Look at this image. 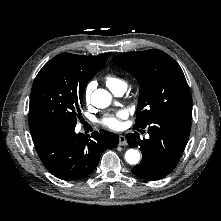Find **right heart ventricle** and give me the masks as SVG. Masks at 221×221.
Here are the masks:
<instances>
[{
  "label": "right heart ventricle",
  "instance_id": "obj_1",
  "mask_svg": "<svg viewBox=\"0 0 221 221\" xmlns=\"http://www.w3.org/2000/svg\"><path fill=\"white\" fill-rule=\"evenodd\" d=\"M105 82H106V85L112 90H116L120 87H124L126 86V82L121 79L120 77H117L115 75H107L105 77Z\"/></svg>",
  "mask_w": 221,
  "mask_h": 221
}]
</instances>
